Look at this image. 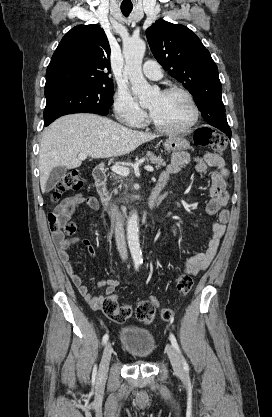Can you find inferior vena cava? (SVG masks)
Listing matches in <instances>:
<instances>
[{"instance_id":"602c4592","label":"inferior vena cava","mask_w":272,"mask_h":417,"mask_svg":"<svg viewBox=\"0 0 272 417\" xmlns=\"http://www.w3.org/2000/svg\"><path fill=\"white\" fill-rule=\"evenodd\" d=\"M112 214L115 220V240H116L117 249L120 253L122 260H126L127 249H126V241H125V236H124V228H123L120 213L116 206L113 207Z\"/></svg>"}]
</instances>
